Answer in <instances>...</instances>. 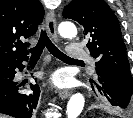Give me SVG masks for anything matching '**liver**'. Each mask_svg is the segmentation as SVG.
<instances>
[{
  "instance_id": "1",
  "label": "liver",
  "mask_w": 133,
  "mask_h": 118,
  "mask_svg": "<svg viewBox=\"0 0 133 118\" xmlns=\"http://www.w3.org/2000/svg\"><path fill=\"white\" fill-rule=\"evenodd\" d=\"M0 118H7V116L0 114Z\"/></svg>"
}]
</instances>
